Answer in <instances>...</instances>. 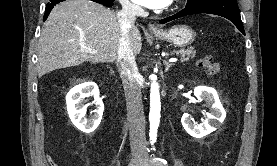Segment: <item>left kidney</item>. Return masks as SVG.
Masks as SVG:
<instances>
[{
    "instance_id": "5707ae66",
    "label": "left kidney",
    "mask_w": 277,
    "mask_h": 166,
    "mask_svg": "<svg viewBox=\"0 0 277 166\" xmlns=\"http://www.w3.org/2000/svg\"><path fill=\"white\" fill-rule=\"evenodd\" d=\"M194 95L198 101L204 100L206 102L210 112L206 113L207 118L200 125L192 124L189 115L186 113L182 116L181 123L189 135L195 138H202L215 131L221 125L226 117V112L215 89L198 86L194 88Z\"/></svg>"
}]
</instances>
